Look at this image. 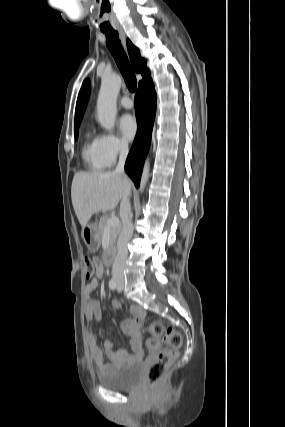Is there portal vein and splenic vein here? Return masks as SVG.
<instances>
[{
    "label": "portal vein and splenic vein",
    "instance_id": "1",
    "mask_svg": "<svg viewBox=\"0 0 285 427\" xmlns=\"http://www.w3.org/2000/svg\"><path fill=\"white\" fill-rule=\"evenodd\" d=\"M119 224H120V221L116 216L109 217L105 231H110L111 228L116 227Z\"/></svg>",
    "mask_w": 285,
    "mask_h": 427
}]
</instances>
